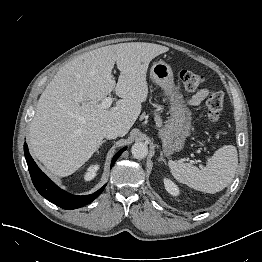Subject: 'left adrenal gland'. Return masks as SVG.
Masks as SVG:
<instances>
[{
	"label": "left adrenal gland",
	"mask_w": 262,
	"mask_h": 262,
	"mask_svg": "<svg viewBox=\"0 0 262 262\" xmlns=\"http://www.w3.org/2000/svg\"><path fill=\"white\" fill-rule=\"evenodd\" d=\"M159 160H160V161H163L165 164H167L166 160H165L164 157H163V153H161V157H160Z\"/></svg>",
	"instance_id": "left-adrenal-gland-1"
}]
</instances>
